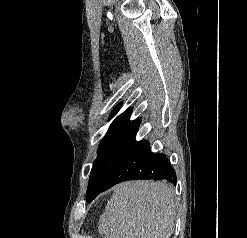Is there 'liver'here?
<instances>
[{"label":"liver","instance_id":"1","mask_svg":"<svg viewBox=\"0 0 247 238\" xmlns=\"http://www.w3.org/2000/svg\"><path fill=\"white\" fill-rule=\"evenodd\" d=\"M177 204L166 182L128 181L113 188L99 219L103 238H170Z\"/></svg>","mask_w":247,"mask_h":238}]
</instances>
